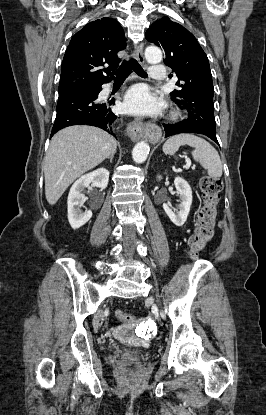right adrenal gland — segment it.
I'll use <instances>...</instances> for the list:
<instances>
[{
  "label": "right adrenal gland",
  "instance_id": "obj_1",
  "mask_svg": "<svg viewBox=\"0 0 266 415\" xmlns=\"http://www.w3.org/2000/svg\"><path fill=\"white\" fill-rule=\"evenodd\" d=\"M113 158H114V154H112L111 156H109L107 159H109L110 160V163H112Z\"/></svg>",
  "mask_w": 266,
  "mask_h": 415
}]
</instances>
